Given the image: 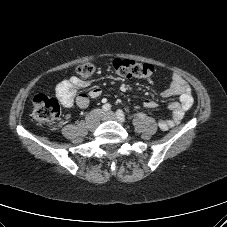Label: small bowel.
I'll list each match as a JSON object with an SVG mask.
<instances>
[{"instance_id": "1", "label": "small bowel", "mask_w": 227, "mask_h": 227, "mask_svg": "<svg viewBox=\"0 0 227 227\" xmlns=\"http://www.w3.org/2000/svg\"><path fill=\"white\" fill-rule=\"evenodd\" d=\"M89 82L73 76L67 80L61 81L56 87V95L61 104L68 109L78 107L81 109L87 108L90 104V99L98 98L102 91L96 87L89 91L88 94L80 93L81 90L87 88ZM178 96V101H173L168 104L171 111V117L160 122V128L167 130L176 124L180 123L185 113L193 104V96L190 85L178 74H174L169 87L164 91L163 97ZM157 101L147 99L140 114H145L148 110L154 108Z\"/></svg>"}]
</instances>
